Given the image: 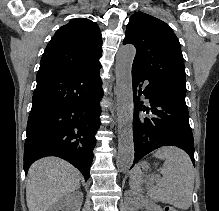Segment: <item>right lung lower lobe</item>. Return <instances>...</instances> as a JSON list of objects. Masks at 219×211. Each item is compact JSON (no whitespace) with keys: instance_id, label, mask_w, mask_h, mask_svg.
I'll list each match as a JSON object with an SVG mask.
<instances>
[{"instance_id":"obj_1","label":"right lung lower lobe","mask_w":219,"mask_h":211,"mask_svg":"<svg viewBox=\"0 0 219 211\" xmlns=\"http://www.w3.org/2000/svg\"><path fill=\"white\" fill-rule=\"evenodd\" d=\"M100 68L37 73L24 147L26 173L35 160L58 156L90 177L103 95Z\"/></svg>"}]
</instances>
